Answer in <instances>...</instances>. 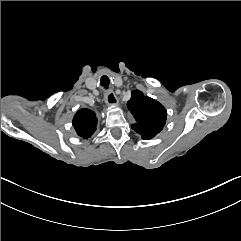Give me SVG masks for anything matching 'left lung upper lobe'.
Segmentation results:
<instances>
[{
    "label": "left lung upper lobe",
    "mask_w": 241,
    "mask_h": 241,
    "mask_svg": "<svg viewBox=\"0 0 241 241\" xmlns=\"http://www.w3.org/2000/svg\"><path fill=\"white\" fill-rule=\"evenodd\" d=\"M127 107L136 120L131 127L141 135L142 139H151L163 129L166 122V110L158 101L135 90L132 92Z\"/></svg>",
    "instance_id": "5c2ea615"
}]
</instances>
